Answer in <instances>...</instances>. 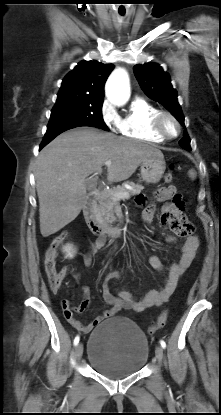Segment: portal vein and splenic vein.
Wrapping results in <instances>:
<instances>
[{"label": "portal vein and splenic vein", "instance_id": "portal-vein-and-splenic-vein-1", "mask_svg": "<svg viewBox=\"0 0 221 415\" xmlns=\"http://www.w3.org/2000/svg\"><path fill=\"white\" fill-rule=\"evenodd\" d=\"M104 164L106 166H110L112 164V162L110 160H108ZM114 196L118 199H125V198H129V193L128 192H117V193L114 194Z\"/></svg>", "mask_w": 221, "mask_h": 415}]
</instances>
